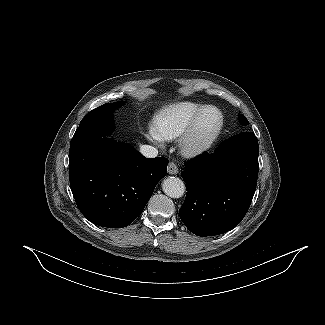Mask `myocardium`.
Returning <instances> with one entry per match:
<instances>
[{"instance_id":"obj_1","label":"myocardium","mask_w":325,"mask_h":325,"mask_svg":"<svg viewBox=\"0 0 325 325\" xmlns=\"http://www.w3.org/2000/svg\"><path fill=\"white\" fill-rule=\"evenodd\" d=\"M217 112L219 116L218 123L205 136L200 135V125L203 117L209 111ZM224 126V115L222 111L215 106H206L201 109L194 117L189 126L181 134L179 139V149L186 157H195L206 152L218 138Z\"/></svg>"}]
</instances>
